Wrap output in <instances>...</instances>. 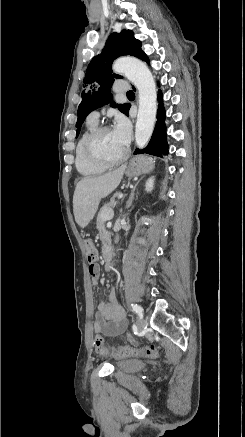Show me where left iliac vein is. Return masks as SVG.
<instances>
[{"label":"left iliac vein","mask_w":245,"mask_h":437,"mask_svg":"<svg viewBox=\"0 0 245 437\" xmlns=\"http://www.w3.org/2000/svg\"><path fill=\"white\" fill-rule=\"evenodd\" d=\"M137 325H138V329H139V331H142V330L146 327V320L143 319V318H140V319L138 320Z\"/></svg>","instance_id":"left-iliac-vein-1"}]
</instances>
